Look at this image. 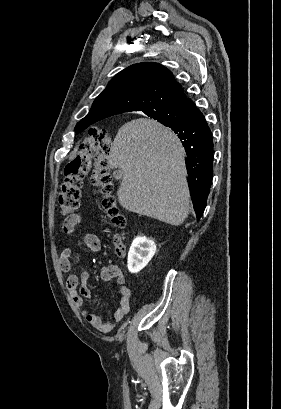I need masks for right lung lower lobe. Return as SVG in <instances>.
<instances>
[{"label": "right lung lower lobe", "instance_id": "right-lung-lower-lobe-1", "mask_svg": "<svg viewBox=\"0 0 281 409\" xmlns=\"http://www.w3.org/2000/svg\"><path fill=\"white\" fill-rule=\"evenodd\" d=\"M144 113L154 119L165 116L177 118V121L168 127L178 135L187 153L190 194L199 220L206 207L213 175L212 133L204 115L189 98Z\"/></svg>", "mask_w": 281, "mask_h": 409}]
</instances>
